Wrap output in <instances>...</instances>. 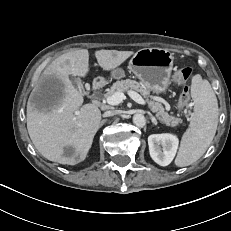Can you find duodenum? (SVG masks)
<instances>
[{"instance_id": "410a0bca", "label": "duodenum", "mask_w": 231, "mask_h": 231, "mask_svg": "<svg viewBox=\"0 0 231 231\" xmlns=\"http://www.w3.org/2000/svg\"><path fill=\"white\" fill-rule=\"evenodd\" d=\"M104 85V82L102 79H95L93 84H92V90L93 91H97L99 90L100 88H102V86Z\"/></svg>"}]
</instances>
